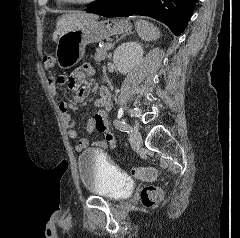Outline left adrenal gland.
<instances>
[{
  "label": "left adrenal gland",
  "mask_w": 240,
  "mask_h": 238,
  "mask_svg": "<svg viewBox=\"0 0 240 238\" xmlns=\"http://www.w3.org/2000/svg\"><path fill=\"white\" fill-rule=\"evenodd\" d=\"M131 33H132V32H129V33H127V34L122 35L119 39H117V40L114 42V44L117 43L118 41H120L121 39H123L126 35H129V34H131ZM114 44H113V46H114Z\"/></svg>",
  "instance_id": "1"
}]
</instances>
